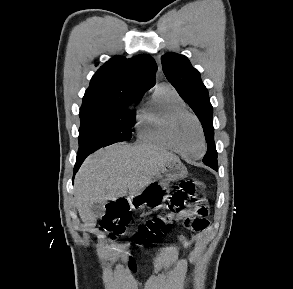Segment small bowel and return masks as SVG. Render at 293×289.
Here are the masks:
<instances>
[{
  "instance_id": "obj_1",
  "label": "small bowel",
  "mask_w": 293,
  "mask_h": 289,
  "mask_svg": "<svg viewBox=\"0 0 293 289\" xmlns=\"http://www.w3.org/2000/svg\"><path fill=\"white\" fill-rule=\"evenodd\" d=\"M201 201L204 202L205 200L204 199H201ZM189 218L197 219L198 222L200 223V225H202V228H200L199 230H196V231L202 232V231H204L208 227V224H209L208 220L207 219H204V218H199L196 215L195 210H193V209L182 210L181 212H179L176 215V219L177 220H183V221H185L186 219H189ZM192 237L194 239H198L199 238L197 235H194ZM174 238L177 241H179L181 244H183L185 247H189L190 246V241H189V239L186 236L181 235V234H177V235H175ZM160 288H161V281L160 280H157V279H153L151 277H148V282L146 284L145 289H160Z\"/></svg>"
}]
</instances>
